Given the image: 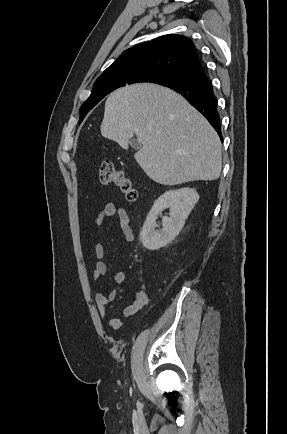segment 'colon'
<instances>
[{"label":"colon","mask_w":287,"mask_h":434,"mask_svg":"<svg viewBox=\"0 0 287 434\" xmlns=\"http://www.w3.org/2000/svg\"><path fill=\"white\" fill-rule=\"evenodd\" d=\"M99 178L101 183L118 188L128 201L134 202L138 198V190L131 178L117 169L112 162L106 161L100 165Z\"/></svg>","instance_id":"colon-1"}]
</instances>
